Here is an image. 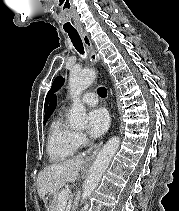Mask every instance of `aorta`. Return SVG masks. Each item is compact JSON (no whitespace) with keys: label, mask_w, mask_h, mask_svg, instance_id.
<instances>
[{"label":"aorta","mask_w":179,"mask_h":211,"mask_svg":"<svg viewBox=\"0 0 179 211\" xmlns=\"http://www.w3.org/2000/svg\"><path fill=\"white\" fill-rule=\"evenodd\" d=\"M95 78L96 72L93 69L72 72L69 76V91L73 104L69 111L68 119L70 126L74 129L81 130L86 127V110L84 105L80 102V95L93 83ZM119 145V137H112L98 153L84 183L81 203H83L98 186L103 173L118 150Z\"/></svg>","instance_id":"obj_1"}]
</instances>
